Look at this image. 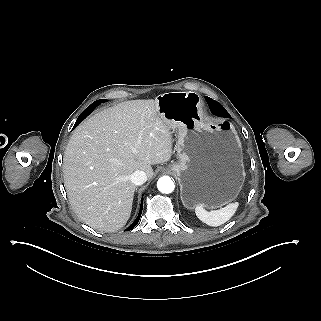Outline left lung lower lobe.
Instances as JSON below:
<instances>
[{
	"label": "left lung lower lobe",
	"mask_w": 321,
	"mask_h": 321,
	"mask_svg": "<svg viewBox=\"0 0 321 321\" xmlns=\"http://www.w3.org/2000/svg\"><path fill=\"white\" fill-rule=\"evenodd\" d=\"M212 112L215 113L216 115H222L224 112L220 110L214 103H208Z\"/></svg>",
	"instance_id": "left-lung-lower-lobe-1"
}]
</instances>
